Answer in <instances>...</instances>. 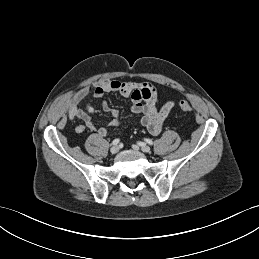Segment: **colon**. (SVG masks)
Here are the masks:
<instances>
[{
	"instance_id": "5ec220e1",
	"label": "colon",
	"mask_w": 259,
	"mask_h": 259,
	"mask_svg": "<svg viewBox=\"0 0 259 259\" xmlns=\"http://www.w3.org/2000/svg\"><path fill=\"white\" fill-rule=\"evenodd\" d=\"M179 107L184 112H190L192 110L191 104L189 102H187V101H181L179 103Z\"/></svg>"
}]
</instances>
